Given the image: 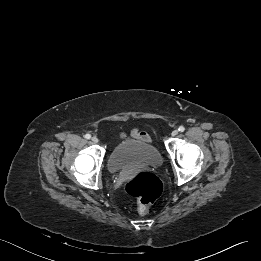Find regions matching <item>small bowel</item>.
Returning a JSON list of instances; mask_svg holds the SVG:
<instances>
[{
	"label": "small bowel",
	"instance_id": "small-bowel-1",
	"mask_svg": "<svg viewBox=\"0 0 261 261\" xmlns=\"http://www.w3.org/2000/svg\"><path fill=\"white\" fill-rule=\"evenodd\" d=\"M131 135L136 138V139H139V140H142V141H146V142H149L150 141V137L148 136V134L144 133V132H141L139 131L138 129H133L132 132H131ZM121 138H124V135L121 134L120 135Z\"/></svg>",
	"mask_w": 261,
	"mask_h": 261
}]
</instances>
